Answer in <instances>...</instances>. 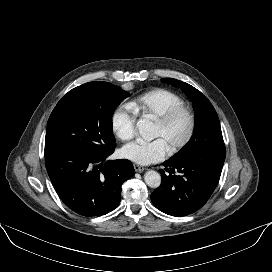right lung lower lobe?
<instances>
[{
    "label": "right lung lower lobe",
    "instance_id": "right-lung-lower-lobe-1",
    "mask_svg": "<svg viewBox=\"0 0 272 272\" xmlns=\"http://www.w3.org/2000/svg\"><path fill=\"white\" fill-rule=\"evenodd\" d=\"M116 147L93 152L65 150L46 158L51 182L67 207L93 217L114 210L121 199V186L135 174L127 159L108 160Z\"/></svg>",
    "mask_w": 272,
    "mask_h": 272
}]
</instances>
